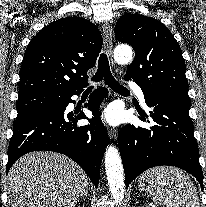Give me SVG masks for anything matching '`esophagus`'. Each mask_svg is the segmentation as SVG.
Here are the masks:
<instances>
[{
    "label": "esophagus",
    "instance_id": "1",
    "mask_svg": "<svg viewBox=\"0 0 206 207\" xmlns=\"http://www.w3.org/2000/svg\"><path fill=\"white\" fill-rule=\"evenodd\" d=\"M103 40H104L105 52L111 58L112 48H113V38H112V27L109 24L103 25ZM111 63L113 65L112 58H111ZM108 135L110 139L116 140L118 136L117 128L109 127Z\"/></svg>",
    "mask_w": 206,
    "mask_h": 207
}]
</instances>
